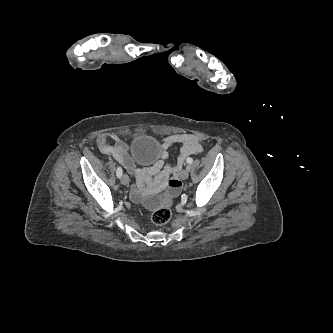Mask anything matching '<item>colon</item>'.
<instances>
[{"instance_id":"1","label":"colon","mask_w":333,"mask_h":333,"mask_svg":"<svg viewBox=\"0 0 333 333\" xmlns=\"http://www.w3.org/2000/svg\"><path fill=\"white\" fill-rule=\"evenodd\" d=\"M171 202L172 198L170 195L164 197L162 205L150 214V219L153 223L163 225L170 221L172 215L170 209Z\"/></svg>"}]
</instances>
